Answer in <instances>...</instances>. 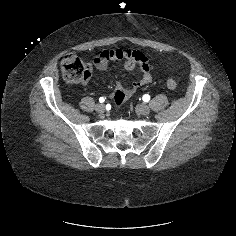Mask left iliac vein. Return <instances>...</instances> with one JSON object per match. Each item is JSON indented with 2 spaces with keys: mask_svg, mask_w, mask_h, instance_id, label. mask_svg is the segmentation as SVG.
Here are the masks:
<instances>
[{
  "mask_svg": "<svg viewBox=\"0 0 236 236\" xmlns=\"http://www.w3.org/2000/svg\"><path fill=\"white\" fill-rule=\"evenodd\" d=\"M137 110L141 115H148L150 113V108L146 104H140L137 106Z\"/></svg>",
  "mask_w": 236,
  "mask_h": 236,
  "instance_id": "left-iliac-vein-1",
  "label": "left iliac vein"
}]
</instances>
